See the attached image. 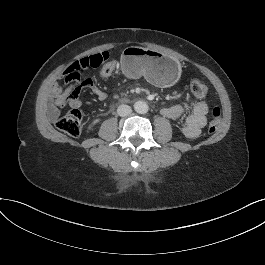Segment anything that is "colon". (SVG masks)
Listing matches in <instances>:
<instances>
[{
  "instance_id": "5ec220e1",
  "label": "colon",
  "mask_w": 265,
  "mask_h": 265,
  "mask_svg": "<svg viewBox=\"0 0 265 265\" xmlns=\"http://www.w3.org/2000/svg\"><path fill=\"white\" fill-rule=\"evenodd\" d=\"M101 66L100 75L103 78H109L116 70V63L109 59L106 52L96 53L88 57H84L71 66L64 72V82L66 84H75L79 82L80 71L89 67ZM191 92L196 98H204L209 91L208 85L201 79H193L190 84ZM221 122V111L218 107H214L212 111V119L210 121L208 131L215 133ZM58 129L66 134L77 137L82 131V114L79 109L73 108L67 114L57 120Z\"/></svg>"
}]
</instances>
